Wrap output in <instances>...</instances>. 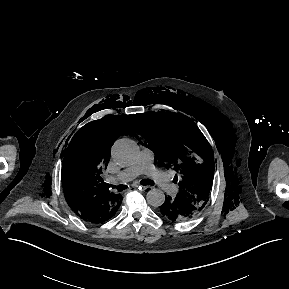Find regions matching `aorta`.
Masks as SVG:
<instances>
[{
  "instance_id": "1",
  "label": "aorta",
  "mask_w": 289,
  "mask_h": 289,
  "mask_svg": "<svg viewBox=\"0 0 289 289\" xmlns=\"http://www.w3.org/2000/svg\"><path fill=\"white\" fill-rule=\"evenodd\" d=\"M111 152L117 163L128 165L138 157L139 147L133 140L123 138L114 143ZM146 199L149 205L160 207L165 201V194L160 189L152 188L147 192Z\"/></svg>"
}]
</instances>
